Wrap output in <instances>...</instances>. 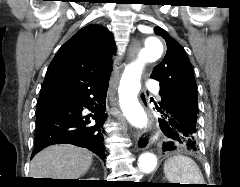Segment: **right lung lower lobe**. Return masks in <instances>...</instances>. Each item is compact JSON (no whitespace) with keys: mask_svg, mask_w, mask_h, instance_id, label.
Wrapping results in <instances>:
<instances>
[{"mask_svg":"<svg viewBox=\"0 0 240 187\" xmlns=\"http://www.w3.org/2000/svg\"><path fill=\"white\" fill-rule=\"evenodd\" d=\"M109 80L94 82L73 95L38 102L33 156L54 144H73L105 158L102 125ZM88 108L91 113L85 114Z\"/></svg>","mask_w":240,"mask_h":187,"instance_id":"right-lung-lower-lobe-1","label":"right lung lower lobe"}]
</instances>
